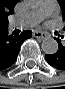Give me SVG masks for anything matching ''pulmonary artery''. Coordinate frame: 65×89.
I'll return each instance as SVG.
<instances>
[{
    "label": "pulmonary artery",
    "instance_id": "e3ab8cb5",
    "mask_svg": "<svg viewBox=\"0 0 65 89\" xmlns=\"http://www.w3.org/2000/svg\"><path fill=\"white\" fill-rule=\"evenodd\" d=\"M56 3L52 0H45L41 6L29 14L10 21L12 28H30L37 25L44 18L51 16L56 11Z\"/></svg>",
    "mask_w": 65,
    "mask_h": 89
}]
</instances>
